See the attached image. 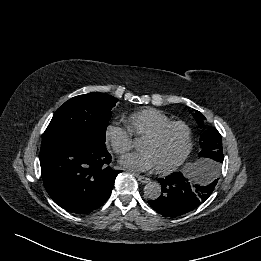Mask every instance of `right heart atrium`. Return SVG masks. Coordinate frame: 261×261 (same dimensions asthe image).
Segmentation results:
<instances>
[{"label": "right heart atrium", "mask_w": 261, "mask_h": 261, "mask_svg": "<svg viewBox=\"0 0 261 261\" xmlns=\"http://www.w3.org/2000/svg\"><path fill=\"white\" fill-rule=\"evenodd\" d=\"M106 144L118 155H123L134 146L132 133L129 129L109 123L104 130Z\"/></svg>", "instance_id": "obj_1"}]
</instances>
